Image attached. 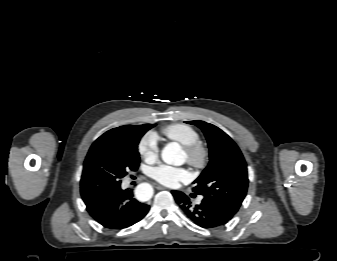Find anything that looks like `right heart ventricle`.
Returning <instances> with one entry per match:
<instances>
[{
	"label": "right heart ventricle",
	"mask_w": 337,
	"mask_h": 261,
	"mask_svg": "<svg viewBox=\"0 0 337 261\" xmlns=\"http://www.w3.org/2000/svg\"><path fill=\"white\" fill-rule=\"evenodd\" d=\"M161 132L168 140L178 142L183 146L199 142L200 139L198 131L184 123L166 125Z\"/></svg>",
	"instance_id": "obj_1"
}]
</instances>
